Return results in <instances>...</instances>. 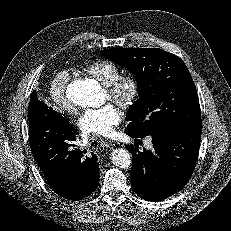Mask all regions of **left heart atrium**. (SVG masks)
Wrapping results in <instances>:
<instances>
[{
  "mask_svg": "<svg viewBox=\"0 0 231 231\" xmlns=\"http://www.w3.org/2000/svg\"><path fill=\"white\" fill-rule=\"evenodd\" d=\"M120 109L112 103L84 113L79 120L80 129L86 134L109 136L121 121Z\"/></svg>",
  "mask_w": 231,
  "mask_h": 231,
  "instance_id": "left-heart-atrium-1",
  "label": "left heart atrium"
}]
</instances>
